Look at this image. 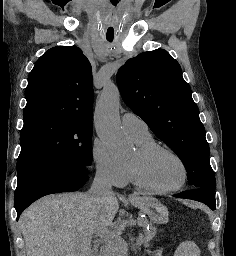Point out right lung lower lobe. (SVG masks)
<instances>
[{"label":"right lung lower lobe","instance_id":"1","mask_svg":"<svg viewBox=\"0 0 236 256\" xmlns=\"http://www.w3.org/2000/svg\"><path fill=\"white\" fill-rule=\"evenodd\" d=\"M88 172L89 167L67 164L28 173L18 181L15 191L17 214L42 196L78 190L88 181Z\"/></svg>","mask_w":236,"mask_h":256}]
</instances>
